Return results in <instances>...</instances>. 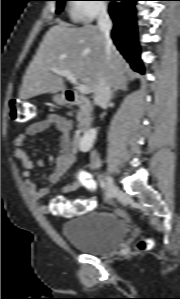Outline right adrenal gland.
Masks as SVG:
<instances>
[{
    "label": "right adrenal gland",
    "mask_w": 180,
    "mask_h": 299,
    "mask_svg": "<svg viewBox=\"0 0 180 299\" xmlns=\"http://www.w3.org/2000/svg\"><path fill=\"white\" fill-rule=\"evenodd\" d=\"M125 82H126V79H125ZM119 90H122V91H127V86H126V85H124V86H121V87L115 88V89L113 90V92H112V96H111V97H113V96L115 95V93H116L117 91H119Z\"/></svg>",
    "instance_id": "1"
}]
</instances>
